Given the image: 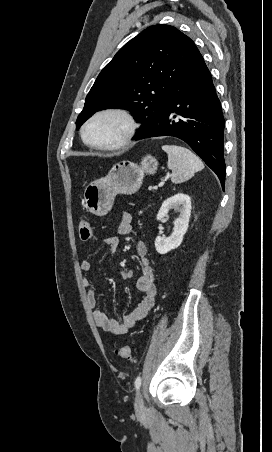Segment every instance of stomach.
I'll return each instance as SVG.
<instances>
[{
    "mask_svg": "<svg viewBox=\"0 0 272 452\" xmlns=\"http://www.w3.org/2000/svg\"><path fill=\"white\" fill-rule=\"evenodd\" d=\"M157 167L158 162L151 155L143 157L140 164L128 160L116 163L105 177L86 186L83 194L86 209L98 216L106 215L117 194L137 192L145 174H154Z\"/></svg>",
    "mask_w": 272,
    "mask_h": 452,
    "instance_id": "0dacf381",
    "label": "stomach"
}]
</instances>
